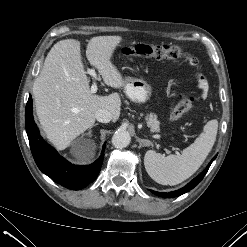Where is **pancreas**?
<instances>
[{
    "label": "pancreas",
    "mask_w": 247,
    "mask_h": 247,
    "mask_svg": "<svg viewBox=\"0 0 247 247\" xmlns=\"http://www.w3.org/2000/svg\"><path fill=\"white\" fill-rule=\"evenodd\" d=\"M147 125L151 128L153 131L159 130L160 122L157 119V116L155 114H149L146 117Z\"/></svg>",
    "instance_id": "obj_1"
}]
</instances>
